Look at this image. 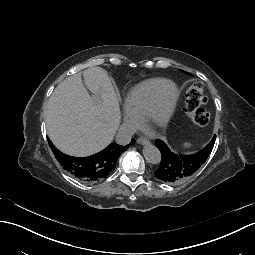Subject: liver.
Wrapping results in <instances>:
<instances>
[{"label":"liver","instance_id":"6515ba94","mask_svg":"<svg viewBox=\"0 0 255 255\" xmlns=\"http://www.w3.org/2000/svg\"><path fill=\"white\" fill-rule=\"evenodd\" d=\"M67 77L54 90L46 110L50 140L61 152L83 157L109 145L119 127L118 97L107 72L101 67ZM97 98V99H95Z\"/></svg>","mask_w":255,"mask_h":255}]
</instances>
